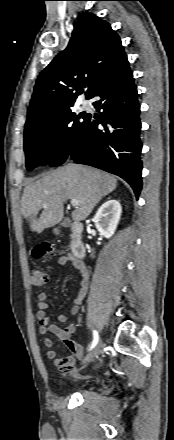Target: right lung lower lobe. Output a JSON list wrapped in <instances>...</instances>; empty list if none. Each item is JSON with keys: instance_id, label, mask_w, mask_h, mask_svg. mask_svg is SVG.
Segmentation results:
<instances>
[{"instance_id": "98d812e1", "label": "right lung lower lobe", "mask_w": 174, "mask_h": 440, "mask_svg": "<svg viewBox=\"0 0 174 440\" xmlns=\"http://www.w3.org/2000/svg\"><path fill=\"white\" fill-rule=\"evenodd\" d=\"M137 89L128 60L103 79L89 99L100 116L86 115L81 135L67 158L126 180L138 198L141 187V123ZM102 125L103 128H98Z\"/></svg>"}]
</instances>
